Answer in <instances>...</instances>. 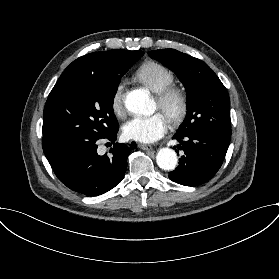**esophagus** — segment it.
<instances>
[{"label":"esophagus","mask_w":279,"mask_h":279,"mask_svg":"<svg viewBox=\"0 0 279 279\" xmlns=\"http://www.w3.org/2000/svg\"><path fill=\"white\" fill-rule=\"evenodd\" d=\"M138 147L142 150H152V146L145 143H138Z\"/></svg>","instance_id":"esophagus-1"}]
</instances>
